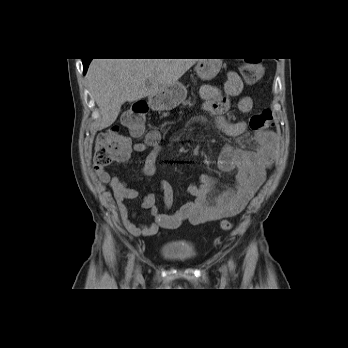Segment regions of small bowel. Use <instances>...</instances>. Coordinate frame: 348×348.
Here are the masks:
<instances>
[{"label": "small bowel", "mask_w": 348, "mask_h": 348, "mask_svg": "<svg viewBox=\"0 0 348 348\" xmlns=\"http://www.w3.org/2000/svg\"><path fill=\"white\" fill-rule=\"evenodd\" d=\"M242 90L243 82L235 72L227 74L221 88L210 84L201 87L204 111L215 117L217 128L227 136H240L247 129L245 121L231 122L225 117L230 110L243 114L252 110V99L250 96L242 95ZM232 98L237 100L232 101ZM195 121L201 122L202 119L198 118ZM275 143L274 132L259 131L255 135L256 145L253 150L225 148L219 157L218 165L225 173L235 175L236 186L222 191L213 202H209V196L215 179L204 176L200 184H192L188 188V193L193 199L180 210L168 213L167 210L173 203V190L169 183L162 182L158 194H149L141 201V208L153 216V221L147 224L135 222L126 204L127 201L138 197V191L120 177L111 176L102 167L96 166L95 171L100 181L112 189L126 230L133 236H151L162 228H176L185 220L193 225H201L240 213L263 184L266 171L275 158ZM160 150L161 146L157 142H138L132 146V152L149 151L141 169V176H151L155 172ZM127 160L128 157L120 162L124 163ZM158 196L162 197L163 208L157 205Z\"/></svg>", "instance_id": "c3829d8e"}]
</instances>
